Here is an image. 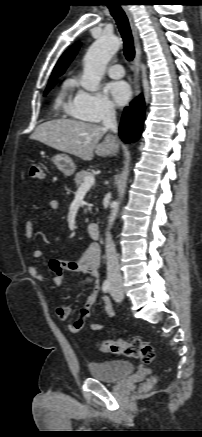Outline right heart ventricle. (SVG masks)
Here are the masks:
<instances>
[{
	"instance_id": "e07e8e85",
	"label": "right heart ventricle",
	"mask_w": 202,
	"mask_h": 437,
	"mask_svg": "<svg viewBox=\"0 0 202 437\" xmlns=\"http://www.w3.org/2000/svg\"><path fill=\"white\" fill-rule=\"evenodd\" d=\"M71 86L72 84L70 82L65 83L62 86L60 92L58 93V96L55 101V105L57 107H62L69 113H70V102L67 100V96Z\"/></svg>"
}]
</instances>
